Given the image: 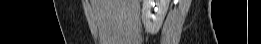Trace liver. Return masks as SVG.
<instances>
[{
  "instance_id": "obj_1",
  "label": "liver",
  "mask_w": 261,
  "mask_h": 44,
  "mask_svg": "<svg viewBox=\"0 0 261 44\" xmlns=\"http://www.w3.org/2000/svg\"><path fill=\"white\" fill-rule=\"evenodd\" d=\"M100 44L139 42V0H91Z\"/></svg>"
}]
</instances>
